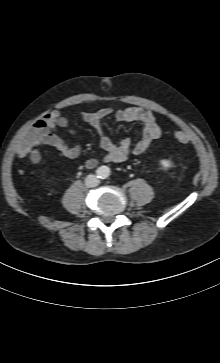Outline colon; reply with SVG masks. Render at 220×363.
I'll use <instances>...</instances> for the list:
<instances>
[{
  "label": "colon",
  "mask_w": 220,
  "mask_h": 363,
  "mask_svg": "<svg viewBox=\"0 0 220 363\" xmlns=\"http://www.w3.org/2000/svg\"><path fill=\"white\" fill-rule=\"evenodd\" d=\"M38 127H43V123H38L37 122ZM42 136V131H37L34 133L33 138L36 142H38L41 139ZM172 136L174 138L175 141L179 142V143H187L189 141V136L181 131V130H174L172 132Z\"/></svg>",
  "instance_id": "obj_1"
}]
</instances>
